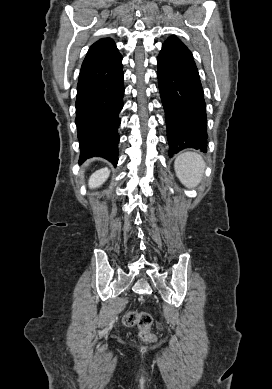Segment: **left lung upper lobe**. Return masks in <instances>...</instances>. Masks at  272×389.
I'll use <instances>...</instances> for the list:
<instances>
[{
  "label": "left lung upper lobe",
  "mask_w": 272,
  "mask_h": 389,
  "mask_svg": "<svg viewBox=\"0 0 272 389\" xmlns=\"http://www.w3.org/2000/svg\"><path fill=\"white\" fill-rule=\"evenodd\" d=\"M163 46L171 48V49H174V50H177V51H181V52H185V53L191 54V51L175 35L170 36L168 38V40L165 41Z\"/></svg>",
  "instance_id": "1"
}]
</instances>
